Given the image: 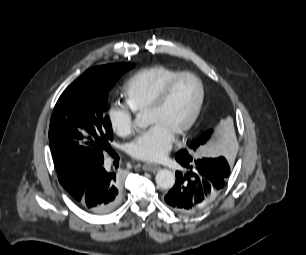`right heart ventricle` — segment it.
Returning <instances> with one entry per match:
<instances>
[{
	"label": "right heart ventricle",
	"instance_id": "obj_1",
	"mask_svg": "<svg viewBox=\"0 0 306 255\" xmlns=\"http://www.w3.org/2000/svg\"><path fill=\"white\" fill-rule=\"evenodd\" d=\"M179 70L155 65L140 69L124 85V97L127 105L135 112H144L163 88Z\"/></svg>",
	"mask_w": 306,
	"mask_h": 255
}]
</instances>
